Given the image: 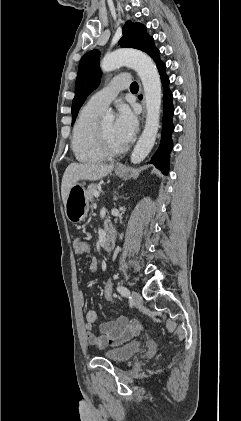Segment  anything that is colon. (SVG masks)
<instances>
[{
    "mask_svg": "<svg viewBox=\"0 0 241 421\" xmlns=\"http://www.w3.org/2000/svg\"><path fill=\"white\" fill-rule=\"evenodd\" d=\"M91 250L90 244L87 241L80 240L75 248L76 253L81 255L89 254ZM103 295L108 302H113L114 291L113 284L110 280H107L103 285Z\"/></svg>",
    "mask_w": 241,
    "mask_h": 421,
    "instance_id": "obj_1",
    "label": "colon"
}]
</instances>
